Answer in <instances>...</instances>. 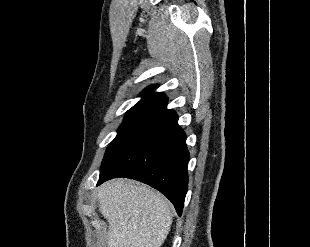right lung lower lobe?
Masks as SVG:
<instances>
[{
	"instance_id": "98d812e1",
	"label": "right lung lower lobe",
	"mask_w": 310,
	"mask_h": 247,
	"mask_svg": "<svg viewBox=\"0 0 310 247\" xmlns=\"http://www.w3.org/2000/svg\"><path fill=\"white\" fill-rule=\"evenodd\" d=\"M189 152L178 116L169 109L147 122L101 168L97 185L116 177L146 183L162 192L181 216L188 189Z\"/></svg>"
}]
</instances>
